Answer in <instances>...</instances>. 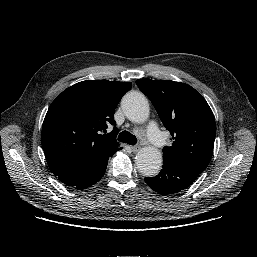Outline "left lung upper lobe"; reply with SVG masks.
Masks as SVG:
<instances>
[{
	"instance_id": "obj_1",
	"label": "left lung upper lobe",
	"mask_w": 257,
	"mask_h": 257,
	"mask_svg": "<svg viewBox=\"0 0 257 257\" xmlns=\"http://www.w3.org/2000/svg\"><path fill=\"white\" fill-rule=\"evenodd\" d=\"M136 84L172 135L173 144L163 148V158L202 173L211 160L216 135L214 115L206 100L185 83L138 79Z\"/></svg>"
}]
</instances>
